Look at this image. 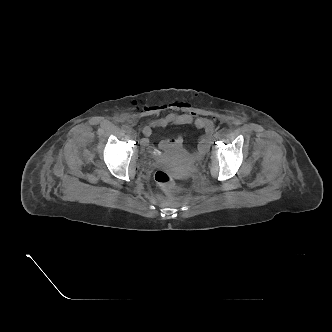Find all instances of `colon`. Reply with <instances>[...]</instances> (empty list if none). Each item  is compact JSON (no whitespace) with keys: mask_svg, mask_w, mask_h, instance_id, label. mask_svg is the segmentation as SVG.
Instances as JSON below:
<instances>
[{"mask_svg":"<svg viewBox=\"0 0 332 332\" xmlns=\"http://www.w3.org/2000/svg\"><path fill=\"white\" fill-rule=\"evenodd\" d=\"M156 183L166 192L172 193L177 184L174 178L165 170H158L154 175Z\"/></svg>","mask_w":332,"mask_h":332,"instance_id":"5ec220e1","label":"colon"}]
</instances>
